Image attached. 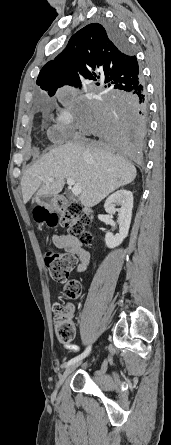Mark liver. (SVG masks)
Returning <instances> with one entry per match:
<instances>
[{
  "label": "liver",
  "mask_w": 171,
  "mask_h": 445,
  "mask_svg": "<svg viewBox=\"0 0 171 445\" xmlns=\"http://www.w3.org/2000/svg\"><path fill=\"white\" fill-rule=\"evenodd\" d=\"M135 177L136 168L131 162L110 157L98 144L75 141L50 150L33 164L22 177L21 189L23 201L27 203L35 193L58 195L65 179L73 178L81 188V204L93 207Z\"/></svg>",
  "instance_id": "1"
}]
</instances>
